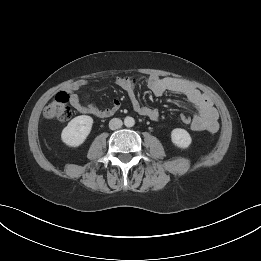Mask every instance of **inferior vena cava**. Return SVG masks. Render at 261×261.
Instances as JSON below:
<instances>
[{
    "label": "inferior vena cava",
    "instance_id": "inferior-vena-cava-1",
    "mask_svg": "<svg viewBox=\"0 0 261 261\" xmlns=\"http://www.w3.org/2000/svg\"><path fill=\"white\" fill-rule=\"evenodd\" d=\"M122 124H123V123H122V120H121V119H119V118H113V119H111L110 122H109V128H110L111 130H116V129L121 128Z\"/></svg>",
    "mask_w": 261,
    "mask_h": 261
}]
</instances>
